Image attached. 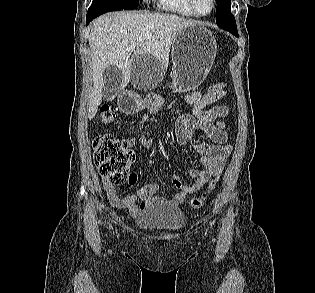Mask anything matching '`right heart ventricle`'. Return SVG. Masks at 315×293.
Wrapping results in <instances>:
<instances>
[{
    "instance_id": "1",
    "label": "right heart ventricle",
    "mask_w": 315,
    "mask_h": 293,
    "mask_svg": "<svg viewBox=\"0 0 315 293\" xmlns=\"http://www.w3.org/2000/svg\"><path fill=\"white\" fill-rule=\"evenodd\" d=\"M158 7L163 11L181 17H196L189 0H157Z\"/></svg>"
}]
</instances>
